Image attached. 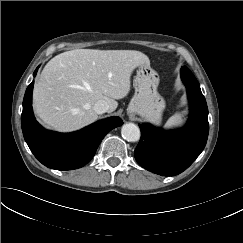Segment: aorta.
I'll use <instances>...</instances> for the list:
<instances>
[{
	"instance_id": "1",
	"label": "aorta",
	"mask_w": 243,
	"mask_h": 243,
	"mask_svg": "<svg viewBox=\"0 0 243 243\" xmlns=\"http://www.w3.org/2000/svg\"><path fill=\"white\" fill-rule=\"evenodd\" d=\"M122 137L129 142H136L140 139V129L134 123H126L121 129Z\"/></svg>"
}]
</instances>
